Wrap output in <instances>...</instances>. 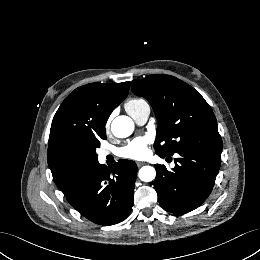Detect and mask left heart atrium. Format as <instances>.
Instances as JSON below:
<instances>
[{
	"label": "left heart atrium",
	"mask_w": 260,
	"mask_h": 260,
	"mask_svg": "<svg viewBox=\"0 0 260 260\" xmlns=\"http://www.w3.org/2000/svg\"><path fill=\"white\" fill-rule=\"evenodd\" d=\"M149 140L139 137L119 149V155L124 158L141 159L147 155Z\"/></svg>",
	"instance_id": "obj_1"
}]
</instances>
